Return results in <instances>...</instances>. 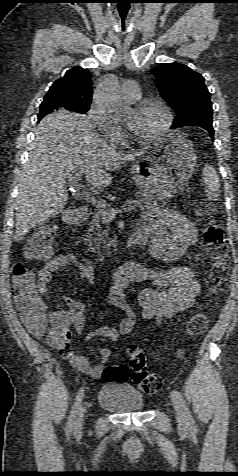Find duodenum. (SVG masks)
<instances>
[{
  "label": "duodenum",
  "instance_id": "duodenum-1",
  "mask_svg": "<svg viewBox=\"0 0 238 476\" xmlns=\"http://www.w3.org/2000/svg\"><path fill=\"white\" fill-rule=\"evenodd\" d=\"M90 215H91L90 209L80 208L70 212L66 216V220L70 224H79L86 221L90 217ZM146 237H147V234L145 230L140 228L136 229L135 231L132 232V234L128 238L126 250L131 251L141 247L144 244ZM132 263L133 262L131 261H127L120 268H130Z\"/></svg>",
  "mask_w": 238,
  "mask_h": 476
}]
</instances>
